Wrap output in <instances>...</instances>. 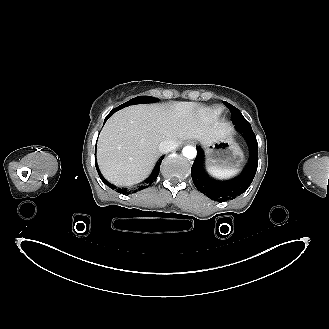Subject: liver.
Here are the masks:
<instances>
[{"label": "liver", "instance_id": "1", "mask_svg": "<svg viewBox=\"0 0 329 329\" xmlns=\"http://www.w3.org/2000/svg\"><path fill=\"white\" fill-rule=\"evenodd\" d=\"M195 102H177L170 107L139 105L118 111L103 127L97 161L103 176L117 186H131L148 176L161 155L159 144L196 139L210 144L232 134Z\"/></svg>", "mask_w": 329, "mask_h": 329}]
</instances>
